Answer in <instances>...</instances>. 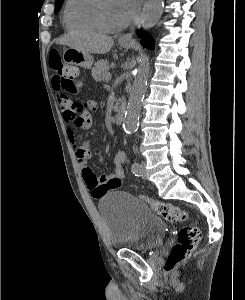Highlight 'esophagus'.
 Returning a JSON list of instances; mask_svg holds the SVG:
<instances>
[{
    "label": "esophagus",
    "mask_w": 245,
    "mask_h": 300,
    "mask_svg": "<svg viewBox=\"0 0 245 300\" xmlns=\"http://www.w3.org/2000/svg\"><path fill=\"white\" fill-rule=\"evenodd\" d=\"M147 1V0H146ZM132 33H125L119 37L120 41H132Z\"/></svg>",
    "instance_id": "1"
}]
</instances>
